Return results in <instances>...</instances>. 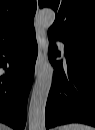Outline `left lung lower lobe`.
Returning a JSON list of instances; mask_svg holds the SVG:
<instances>
[{"instance_id":"0a47b994","label":"left lung lower lobe","mask_w":95,"mask_h":130,"mask_svg":"<svg viewBox=\"0 0 95 130\" xmlns=\"http://www.w3.org/2000/svg\"><path fill=\"white\" fill-rule=\"evenodd\" d=\"M55 39L65 44L64 67L55 61L60 55ZM49 41L54 75L45 110L46 128L73 122L95 126V50L51 35Z\"/></svg>"}]
</instances>
